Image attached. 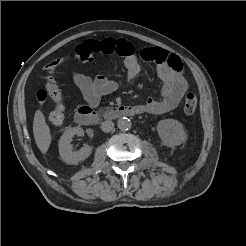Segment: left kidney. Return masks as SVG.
Masks as SVG:
<instances>
[{"instance_id":"1","label":"left kidney","mask_w":246,"mask_h":246,"mask_svg":"<svg viewBox=\"0 0 246 246\" xmlns=\"http://www.w3.org/2000/svg\"><path fill=\"white\" fill-rule=\"evenodd\" d=\"M157 132L163 145L175 147L187 140L183 125L175 119H164L157 123Z\"/></svg>"}]
</instances>
